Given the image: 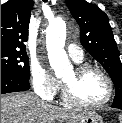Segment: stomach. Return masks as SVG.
<instances>
[{"mask_svg":"<svg viewBox=\"0 0 122 123\" xmlns=\"http://www.w3.org/2000/svg\"><path fill=\"white\" fill-rule=\"evenodd\" d=\"M75 123H104V122L102 117L97 113L87 111L85 112L84 117Z\"/></svg>","mask_w":122,"mask_h":123,"instance_id":"obj_1","label":"stomach"}]
</instances>
